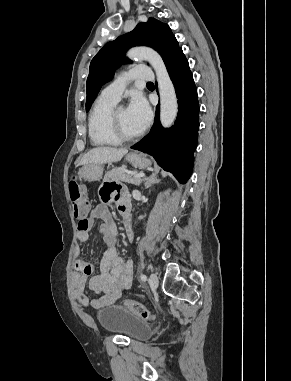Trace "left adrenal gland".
<instances>
[{
  "label": "left adrenal gland",
  "instance_id": "obj_1",
  "mask_svg": "<svg viewBox=\"0 0 291 381\" xmlns=\"http://www.w3.org/2000/svg\"><path fill=\"white\" fill-rule=\"evenodd\" d=\"M160 179H157L156 174L152 173L149 177L144 179L145 188H149L154 183H159Z\"/></svg>",
  "mask_w": 291,
  "mask_h": 381
}]
</instances>
